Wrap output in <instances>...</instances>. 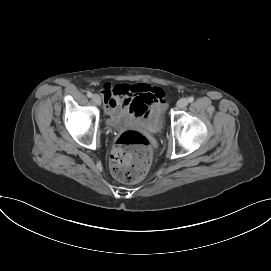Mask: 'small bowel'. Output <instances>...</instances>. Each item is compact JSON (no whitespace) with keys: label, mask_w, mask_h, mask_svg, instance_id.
<instances>
[{"label":"small bowel","mask_w":271,"mask_h":271,"mask_svg":"<svg viewBox=\"0 0 271 271\" xmlns=\"http://www.w3.org/2000/svg\"><path fill=\"white\" fill-rule=\"evenodd\" d=\"M109 124L117 125L123 118L141 121L160 114L165 106V92L145 83L134 85L105 84L101 88Z\"/></svg>","instance_id":"1"}]
</instances>
